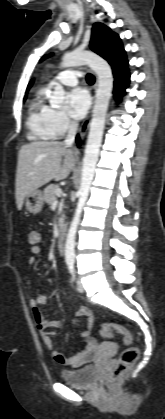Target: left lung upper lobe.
I'll list each match as a JSON object with an SVG mask.
<instances>
[{"label": "left lung upper lobe", "instance_id": "obj_1", "mask_svg": "<svg viewBox=\"0 0 165 419\" xmlns=\"http://www.w3.org/2000/svg\"><path fill=\"white\" fill-rule=\"evenodd\" d=\"M90 48L109 64L124 51L119 36L101 23L93 25ZM50 55H45L42 60Z\"/></svg>", "mask_w": 165, "mask_h": 419}]
</instances>
